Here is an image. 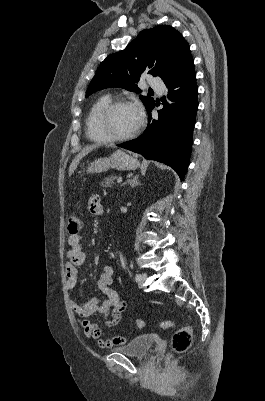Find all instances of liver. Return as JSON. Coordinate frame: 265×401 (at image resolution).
Wrapping results in <instances>:
<instances>
[{
	"label": "liver",
	"mask_w": 265,
	"mask_h": 401,
	"mask_svg": "<svg viewBox=\"0 0 265 401\" xmlns=\"http://www.w3.org/2000/svg\"><path fill=\"white\" fill-rule=\"evenodd\" d=\"M97 146H101V144H87V146H84V148H82V150H80V152H78V154H76L75 158H73L70 166H69V176H71V174H73L75 168H77L81 158H83V156H86V154H88V152H91V150H94V148H97Z\"/></svg>",
	"instance_id": "liver-1"
}]
</instances>
